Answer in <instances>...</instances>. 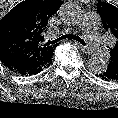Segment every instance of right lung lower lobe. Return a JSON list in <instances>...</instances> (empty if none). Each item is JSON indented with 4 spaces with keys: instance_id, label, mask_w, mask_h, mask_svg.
Segmentation results:
<instances>
[{
    "instance_id": "right-lung-lower-lobe-1",
    "label": "right lung lower lobe",
    "mask_w": 118,
    "mask_h": 118,
    "mask_svg": "<svg viewBox=\"0 0 118 118\" xmlns=\"http://www.w3.org/2000/svg\"><path fill=\"white\" fill-rule=\"evenodd\" d=\"M11 70V69H10ZM13 72H15V73H19V74H21V75H32V74H36V73H38V72H40V71H38V70H29V71H24V70H17V69H14V70H12ZM42 71V70H41Z\"/></svg>"
}]
</instances>
